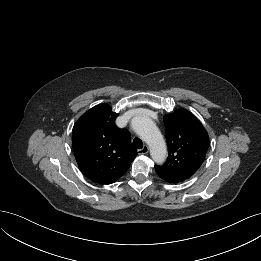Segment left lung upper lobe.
<instances>
[{"mask_svg": "<svg viewBox=\"0 0 261 261\" xmlns=\"http://www.w3.org/2000/svg\"><path fill=\"white\" fill-rule=\"evenodd\" d=\"M169 155L155 171L167 182L179 183L190 178L204 161L209 137L198 119L189 111L179 109L164 116Z\"/></svg>", "mask_w": 261, "mask_h": 261, "instance_id": "1", "label": "left lung upper lobe"}]
</instances>
